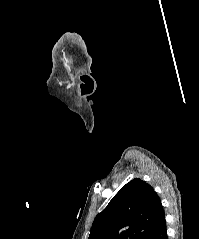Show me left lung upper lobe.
I'll return each mask as SVG.
<instances>
[{"instance_id": "1", "label": "left lung upper lobe", "mask_w": 199, "mask_h": 239, "mask_svg": "<svg viewBox=\"0 0 199 239\" xmlns=\"http://www.w3.org/2000/svg\"><path fill=\"white\" fill-rule=\"evenodd\" d=\"M162 213L160 198L153 188L135 178L96 216L88 239H148Z\"/></svg>"}]
</instances>
